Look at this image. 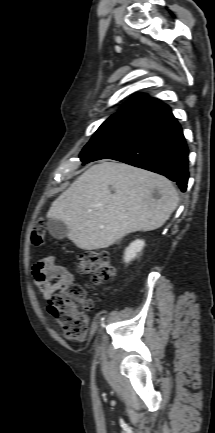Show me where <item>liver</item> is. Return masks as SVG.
Returning <instances> with one entry per match:
<instances>
[{
  "label": "liver",
  "instance_id": "6515ba94",
  "mask_svg": "<svg viewBox=\"0 0 215 433\" xmlns=\"http://www.w3.org/2000/svg\"><path fill=\"white\" fill-rule=\"evenodd\" d=\"M177 204L176 189L166 177L104 161L75 180L52 203L47 218L63 221L77 247L98 250L129 233L160 228Z\"/></svg>",
  "mask_w": 215,
  "mask_h": 433
}]
</instances>
